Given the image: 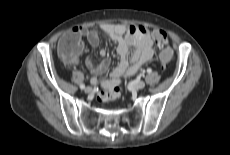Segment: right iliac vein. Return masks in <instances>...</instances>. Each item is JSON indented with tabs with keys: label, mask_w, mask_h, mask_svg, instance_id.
I'll list each match as a JSON object with an SVG mask.
<instances>
[{
	"label": "right iliac vein",
	"mask_w": 230,
	"mask_h": 155,
	"mask_svg": "<svg viewBox=\"0 0 230 155\" xmlns=\"http://www.w3.org/2000/svg\"><path fill=\"white\" fill-rule=\"evenodd\" d=\"M84 91H85L86 93H90V92H92V88H91V87H86V88L84 89Z\"/></svg>",
	"instance_id": "1"
}]
</instances>
